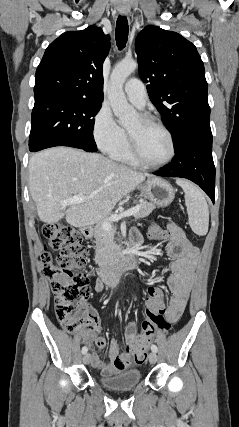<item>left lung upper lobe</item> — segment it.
I'll use <instances>...</instances> for the list:
<instances>
[{
	"label": "left lung upper lobe",
	"mask_w": 239,
	"mask_h": 427,
	"mask_svg": "<svg viewBox=\"0 0 239 427\" xmlns=\"http://www.w3.org/2000/svg\"><path fill=\"white\" fill-rule=\"evenodd\" d=\"M139 75L171 132L174 148L193 134H211L208 84L193 43L176 32L146 26L135 41Z\"/></svg>",
	"instance_id": "5c2ea615"
}]
</instances>
